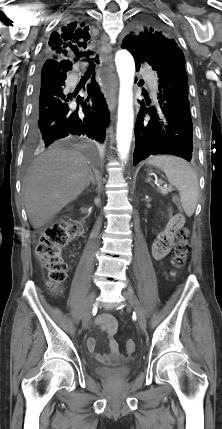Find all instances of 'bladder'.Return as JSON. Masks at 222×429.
Wrapping results in <instances>:
<instances>
[{
    "mask_svg": "<svg viewBox=\"0 0 222 429\" xmlns=\"http://www.w3.org/2000/svg\"><path fill=\"white\" fill-rule=\"evenodd\" d=\"M94 372L98 377L103 379L114 381L123 380L130 376L132 372V365L114 368L97 366L94 368Z\"/></svg>",
    "mask_w": 222,
    "mask_h": 429,
    "instance_id": "31cf9c89",
    "label": "bladder"
}]
</instances>
